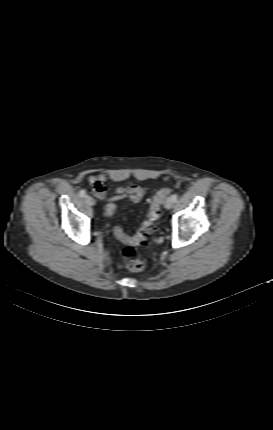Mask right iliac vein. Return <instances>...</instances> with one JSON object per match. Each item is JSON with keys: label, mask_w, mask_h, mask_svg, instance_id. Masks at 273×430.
<instances>
[{"label": "right iliac vein", "mask_w": 273, "mask_h": 430, "mask_svg": "<svg viewBox=\"0 0 273 430\" xmlns=\"http://www.w3.org/2000/svg\"><path fill=\"white\" fill-rule=\"evenodd\" d=\"M85 201L90 206H94L95 205V200L91 196H86L85 197Z\"/></svg>", "instance_id": "right-iliac-vein-1"}]
</instances>
